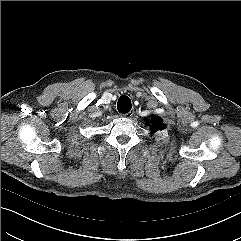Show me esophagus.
<instances>
[{
    "instance_id": "esophagus-1",
    "label": "esophagus",
    "mask_w": 241,
    "mask_h": 241,
    "mask_svg": "<svg viewBox=\"0 0 241 241\" xmlns=\"http://www.w3.org/2000/svg\"><path fill=\"white\" fill-rule=\"evenodd\" d=\"M133 115H134V111H129L128 113L123 114L122 117L130 119L132 118Z\"/></svg>"
}]
</instances>
